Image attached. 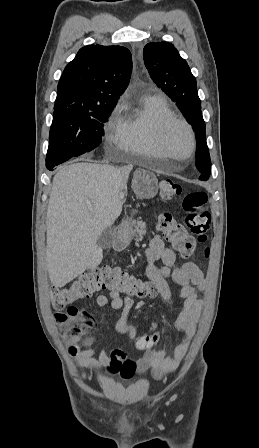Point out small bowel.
Returning <instances> with one entry per match:
<instances>
[{
	"label": "small bowel",
	"instance_id": "obj_1",
	"mask_svg": "<svg viewBox=\"0 0 259 448\" xmlns=\"http://www.w3.org/2000/svg\"><path fill=\"white\" fill-rule=\"evenodd\" d=\"M147 276L156 287L163 300L173 303L168 280L179 287L180 314L175 321V327L183 333L180 343L173 350L150 348L137 360L128 359L123 351L117 349L111 352L97 349L93 346V339L88 338L83 344H68V353L80 365L97 373L101 382L107 384L111 377L119 376L122 380L131 379L136 373L148 370L156 378L174 371L185 356L189 344L196 331L203 303L198 297V290H203L206 284L205 277L199 267L186 261L181 266L176 265V255L168 248L160 237H155L147 250ZM162 261L163 266L157 267L154 263ZM96 303L100 307H111L121 310L120 318L116 323V330L126 333L130 339L137 336L136 328L128 320L134 301L131 297H122L110 294L98 295ZM158 325L152 323L151 329L157 332ZM86 378V375H82Z\"/></svg>",
	"mask_w": 259,
	"mask_h": 448
}]
</instances>
